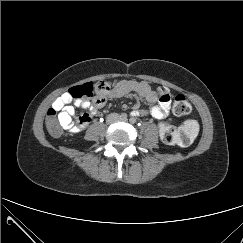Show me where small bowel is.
Returning a JSON list of instances; mask_svg holds the SVG:
<instances>
[{
	"label": "small bowel",
	"instance_id": "1",
	"mask_svg": "<svg viewBox=\"0 0 243 243\" xmlns=\"http://www.w3.org/2000/svg\"><path fill=\"white\" fill-rule=\"evenodd\" d=\"M167 90V89H166ZM135 91L141 98L145 99L149 103H157L152 106L149 111L147 110H134L132 115L134 116H147L150 115L155 119H164L168 116L170 110V99L168 97L165 100H161L156 90H153L146 82L128 81L122 80L116 82L106 94H97L92 101L73 99L69 92L63 93L52 104L58 113V119L64 129L68 132L75 134L82 131L88 123L91 121L92 116L96 114L98 109L102 108L108 98H120L127 93ZM168 91V90H167ZM73 102L75 107L85 109L89 111L90 121L85 124H74V120L79 118L76 116L75 107L71 104Z\"/></svg>",
	"mask_w": 243,
	"mask_h": 243
}]
</instances>
